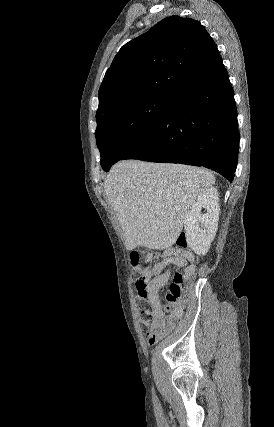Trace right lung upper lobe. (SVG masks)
Listing matches in <instances>:
<instances>
[{"label": "right lung upper lobe", "instance_id": "right-lung-upper-lobe-1", "mask_svg": "<svg viewBox=\"0 0 274 427\" xmlns=\"http://www.w3.org/2000/svg\"><path fill=\"white\" fill-rule=\"evenodd\" d=\"M222 69L217 46L199 21L167 17L117 53L98 92L96 116L134 97L177 96Z\"/></svg>", "mask_w": 274, "mask_h": 427}]
</instances>
